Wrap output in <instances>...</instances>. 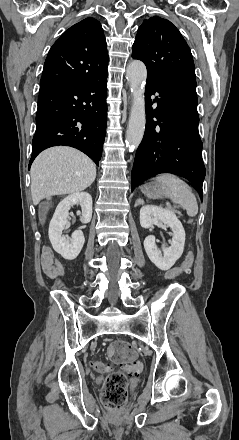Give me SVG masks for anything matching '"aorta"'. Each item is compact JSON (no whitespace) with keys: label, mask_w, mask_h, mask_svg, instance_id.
Here are the masks:
<instances>
[{"label":"aorta","mask_w":239,"mask_h":440,"mask_svg":"<svg viewBox=\"0 0 239 440\" xmlns=\"http://www.w3.org/2000/svg\"><path fill=\"white\" fill-rule=\"evenodd\" d=\"M126 74L132 94V106L126 132V144L138 148L144 136L146 124L143 86L147 78L146 66L143 62H140V60H133V62L128 64Z\"/></svg>","instance_id":"aorta-1"}]
</instances>
